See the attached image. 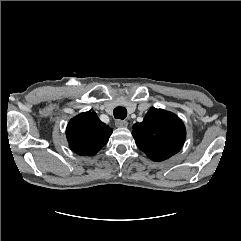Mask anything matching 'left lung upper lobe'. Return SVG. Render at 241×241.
Returning <instances> with one entry per match:
<instances>
[{
	"label": "left lung upper lobe",
	"instance_id": "1",
	"mask_svg": "<svg viewBox=\"0 0 241 241\" xmlns=\"http://www.w3.org/2000/svg\"><path fill=\"white\" fill-rule=\"evenodd\" d=\"M132 135L139 149L151 160L163 161L181 149L186 130L177 115L152 107L141 123L133 125Z\"/></svg>",
	"mask_w": 241,
	"mask_h": 241
}]
</instances>
